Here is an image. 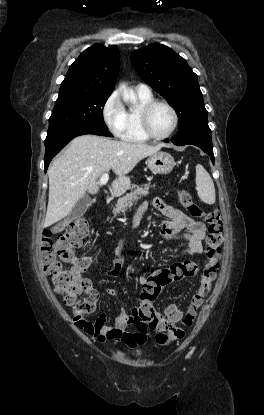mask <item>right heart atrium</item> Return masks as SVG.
<instances>
[{
  "label": "right heart atrium",
  "mask_w": 264,
  "mask_h": 415,
  "mask_svg": "<svg viewBox=\"0 0 264 415\" xmlns=\"http://www.w3.org/2000/svg\"><path fill=\"white\" fill-rule=\"evenodd\" d=\"M102 115L108 128L116 136H120L125 127V108L117 92L111 93L106 99Z\"/></svg>",
  "instance_id": "right-heart-atrium-1"
}]
</instances>
